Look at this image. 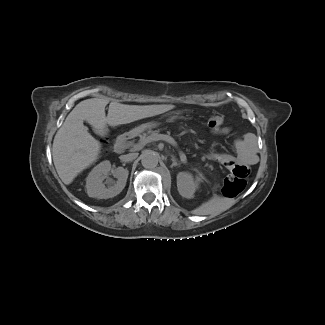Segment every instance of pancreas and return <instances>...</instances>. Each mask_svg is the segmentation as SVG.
Returning a JSON list of instances; mask_svg holds the SVG:
<instances>
[{"label": "pancreas", "instance_id": "1", "mask_svg": "<svg viewBox=\"0 0 325 325\" xmlns=\"http://www.w3.org/2000/svg\"><path fill=\"white\" fill-rule=\"evenodd\" d=\"M155 133H160V134H164V133H166L167 135H169V136H172V137H177V132L176 131H174V130H171V129H167V128H161L160 130H159V128H155V129H149V130H147V132H144V135L143 136H147L148 134L149 135H152V134H155ZM148 135V136H149ZM139 139L141 138L140 136L138 137ZM179 141L181 142V147H182V150H183V152H184V154L188 157V158H190L191 160H193L194 162H196V163H198V164H200L201 166H203V167H205V166H207V161L205 160V159H201V158H199L198 156H196V155H194L190 150H189V146H188V142H187V140L184 138V136H179Z\"/></svg>", "mask_w": 325, "mask_h": 325}]
</instances>
